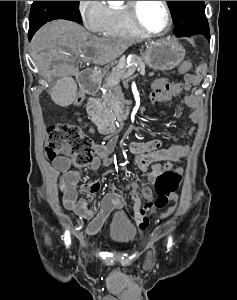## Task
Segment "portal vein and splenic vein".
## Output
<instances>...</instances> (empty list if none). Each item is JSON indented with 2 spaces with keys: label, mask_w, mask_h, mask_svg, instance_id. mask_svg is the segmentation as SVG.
<instances>
[{
  "label": "portal vein and splenic vein",
  "mask_w": 237,
  "mask_h": 300,
  "mask_svg": "<svg viewBox=\"0 0 237 300\" xmlns=\"http://www.w3.org/2000/svg\"><path fill=\"white\" fill-rule=\"evenodd\" d=\"M128 70L129 71H127V72H130V73H128V76L131 77L133 75L131 72L135 71V68L134 67L133 68L130 67ZM122 80H125V77H122Z\"/></svg>",
  "instance_id": "portal-vein-and-splenic-vein-1"
}]
</instances>
